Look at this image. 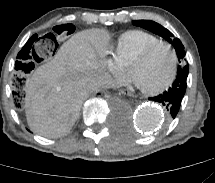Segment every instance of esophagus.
<instances>
[{
    "instance_id": "obj_1",
    "label": "esophagus",
    "mask_w": 215,
    "mask_h": 183,
    "mask_svg": "<svg viewBox=\"0 0 215 183\" xmlns=\"http://www.w3.org/2000/svg\"><path fill=\"white\" fill-rule=\"evenodd\" d=\"M120 94L127 95V96H132V90L127 88V87H124V88L120 89Z\"/></svg>"
}]
</instances>
